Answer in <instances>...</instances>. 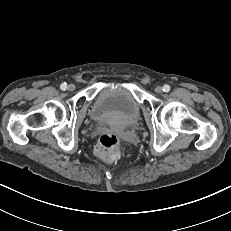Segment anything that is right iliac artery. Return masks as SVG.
I'll use <instances>...</instances> for the list:
<instances>
[{"mask_svg":"<svg viewBox=\"0 0 231 231\" xmlns=\"http://www.w3.org/2000/svg\"><path fill=\"white\" fill-rule=\"evenodd\" d=\"M60 88H61V90L65 91L67 89V84L66 83H62L60 85Z\"/></svg>","mask_w":231,"mask_h":231,"instance_id":"right-iliac-artery-1","label":"right iliac artery"}]
</instances>
